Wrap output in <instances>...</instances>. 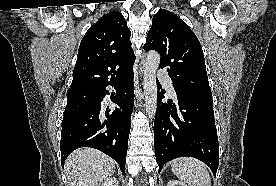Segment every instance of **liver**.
Segmentation results:
<instances>
[{
    "instance_id": "liver-1",
    "label": "liver",
    "mask_w": 276,
    "mask_h": 186,
    "mask_svg": "<svg viewBox=\"0 0 276 186\" xmlns=\"http://www.w3.org/2000/svg\"><path fill=\"white\" fill-rule=\"evenodd\" d=\"M65 171L70 186H102L115 172V161L92 148L77 149L69 155Z\"/></svg>"
}]
</instances>
